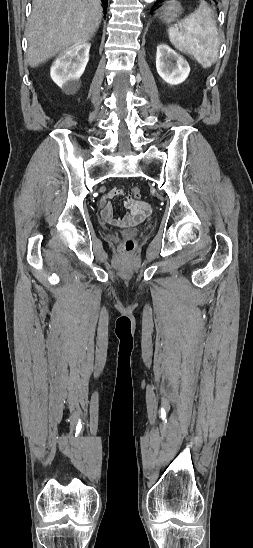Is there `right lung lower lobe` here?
Segmentation results:
<instances>
[{
	"label": "right lung lower lobe",
	"mask_w": 253,
	"mask_h": 548,
	"mask_svg": "<svg viewBox=\"0 0 253 548\" xmlns=\"http://www.w3.org/2000/svg\"><path fill=\"white\" fill-rule=\"evenodd\" d=\"M103 4H104V8L107 9V5H108V0H102Z\"/></svg>",
	"instance_id": "1"
}]
</instances>
